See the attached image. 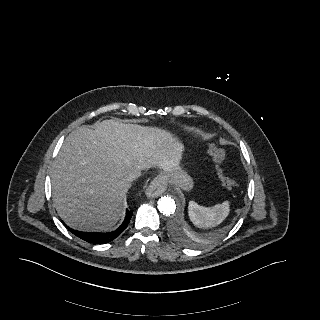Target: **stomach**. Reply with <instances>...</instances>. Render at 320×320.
<instances>
[{"mask_svg": "<svg viewBox=\"0 0 320 320\" xmlns=\"http://www.w3.org/2000/svg\"><path fill=\"white\" fill-rule=\"evenodd\" d=\"M162 177L165 182L174 183L183 190L190 191L193 188L192 178L178 164L171 171L165 172Z\"/></svg>", "mask_w": 320, "mask_h": 320, "instance_id": "0dacf381", "label": "stomach"}]
</instances>
